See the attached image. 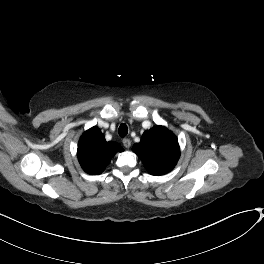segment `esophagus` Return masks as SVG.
I'll return each instance as SVG.
<instances>
[{
    "mask_svg": "<svg viewBox=\"0 0 264 264\" xmlns=\"http://www.w3.org/2000/svg\"><path fill=\"white\" fill-rule=\"evenodd\" d=\"M122 142H123V145H124L126 148H129V147L131 146V141H130L129 138H124V139L122 140Z\"/></svg>",
    "mask_w": 264,
    "mask_h": 264,
    "instance_id": "1",
    "label": "esophagus"
}]
</instances>
